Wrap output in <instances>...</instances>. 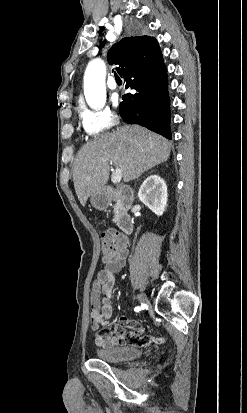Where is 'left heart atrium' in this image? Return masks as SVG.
Masks as SVG:
<instances>
[{
  "instance_id": "obj_1",
  "label": "left heart atrium",
  "mask_w": 247,
  "mask_h": 413,
  "mask_svg": "<svg viewBox=\"0 0 247 413\" xmlns=\"http://www.w3.org/2000/svg\"><path fill=\"white\" fill-rule=\"evenodd\" d=\"M117 101H118V99H117V98H114V102L117 103Z\"/></svg>"
}]
</instances>
